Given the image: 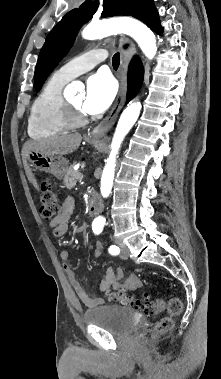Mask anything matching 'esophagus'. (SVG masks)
Wrapping results in <instances>:
<instances>
[{
    "instance_id": "obj_1",
    "label": "esophagus",
    "mask_w": 221,
    "mask_h": 379,
    "mask_svg": "<svg viewBox=\"0 0 221 379\" xmlns=\"http://www.w3.org/2000/svg\"><path fill=\"white\" fill-rule=\"evenodd\" d=\"M128 38L121 37L119 39V52H120V70L119 80L120 88L111 108L109 114L92 130L90 133L93 137L104 136L114 125L121 109L124 106L127 90V67L129 61V53L124 49V44L129 43Z\"/></svg>"
}]
</instances>
